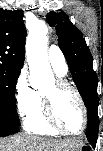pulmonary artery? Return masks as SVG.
<instances>
[{"mask_svg":"<svg viewBox=\"0 0 103 151\" xmlns=\"http://www.w3.org/2000/svg\"><path fill=\"white\" fill-rule=\"evenodd\" d=\"M48 59L53 69L61 74L67 71V63L63 52L56 45H51L48 49Z\"/></svg>","mask_w":103,"mask_h":151,"instance_id":"e3ab8cb5","label":"pulmonary artery"}]
</instances>
